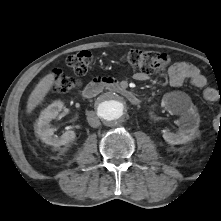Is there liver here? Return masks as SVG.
<instances>
[{
	"label": "liver",
	"mask_w": 221,
	"mask_h": 221,
	"mask_svg": "<svg viewBox=\"0 0 221 221\" xmlns=\"http://www.w3.org/2000/svg\"><path fill=\"white\" fill-rule=\"evenodd\" d=\"M55 75L53 73L44 76L31 92L27 101V113H31L45 98L53 86Z\"/></svg>",
	"instance_id": "6515ba94"
}]
</instances>
